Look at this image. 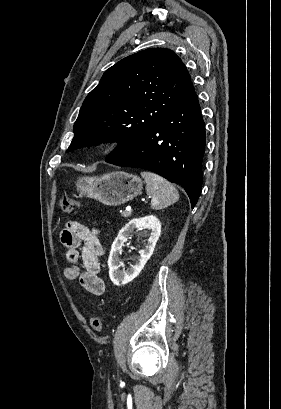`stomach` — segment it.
I'll use <instances>...</instances> for the list:
<instances>
[{"label":"stomach","mask_w":281,"mask_h":409,"mask_svg":"<svg viewBox=\"0 0 281 409\" xmlns=\"http://www.w3.org/2000/svg\"><path fill=\"white\" fill-rule=\"evenodd\" d=\"M143 182L136 174H129L123 170L106 172L101 176H79L76 180V190L79 194L96 198L103 205L117 207L123 202L132 200L141 194Z\"/></svg>","instance_id":"stomach-1"}]
</instances>
